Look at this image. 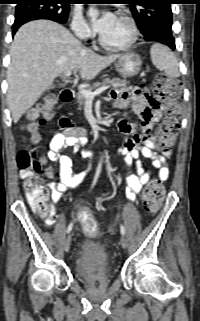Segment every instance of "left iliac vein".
<instances>
[{
  "instance_id": "left-iliac-vein-1",
  "label": "left iliac vein",
  "mask_w": 200,
  "mask_h": 321,
  "mask_svg": "<svg viewBox=\"0 0 200 321\" xmlns=\"http://www.w3.org/2000/svg\"><path fill=\"white\" fill-rule=\"evenodd\" d=\"M127 245H128L127 239H126L125 237H122V238H121V246H122L123 248H126Z\"/></svg>"
}]
</instances>
